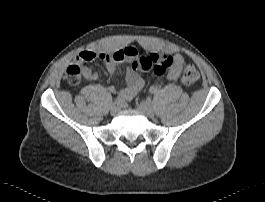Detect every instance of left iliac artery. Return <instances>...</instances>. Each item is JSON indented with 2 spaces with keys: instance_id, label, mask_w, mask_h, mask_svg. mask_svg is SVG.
Instances as JSON below:
<instances>
[{
  "instance_id": "left-iliac-artery-1",
  "label": "left iliac artery",
  "mask_w": 265,
  "mask_h": 202,
  "mask_svg": "<svg viewBox=\"0 0 265 202\" xmlns=\"http://www.w3.org/2000/svg\"><path fill=\"white\" fill-rule=\"evenodd\" d=\"M149 92H150L151 94H155V93L157 92V89L154 88V87H151V88L149 89Z\"/></svg>"
}]
</instances>
